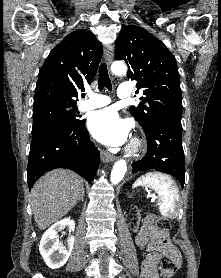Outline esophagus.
I'll return each instance as SVG.
<instances>
[{"instance_id":"esophagus-1","label":"esophagus","mask_w":221,"mask_h":278,"mask_svg":"<svg viewBox=\"0 0 221 278\" xmlns=\"http://www.w3.org/2000/svg\"><path fill=\"white\" fill-rule=\"evenodd\" d=\"M104 54H105L106 63L110 66V64L112 63L113 58H114L113 46L107 45L105 47ZM101 159L103 162L107 163V162L114 161L116 159V156L105 150H101Z\"/></svg>"}]
</instances>
